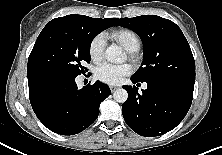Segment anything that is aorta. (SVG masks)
I'll return each mask as SVG.
<instances>
[{"mask_svg": "<svg viewBox=\"0 0 222 155\" xmlns=\"http://www.w3.org/2000/svg\"><path fill=\"white\" fill-rule=\"evenodd\" d=\"M105 57L110 62H122L125 55L121 47L117 45L109 46L105 51ZM113 98L118 103H124L128 98V93L125 89L119 88L114 91Z\"/></svg>", "mask_w": 222, "mask_h": 155, "instance_id": "762f6f07", "label": "aorta"}]
</instances>
